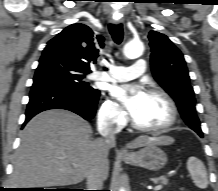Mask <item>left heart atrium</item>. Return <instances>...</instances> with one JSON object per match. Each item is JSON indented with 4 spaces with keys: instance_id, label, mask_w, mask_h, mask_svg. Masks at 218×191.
I'll use <instances>...</instances> for the list:
<instances>
[{
    "instance_id": "left-heart-atrium-1",
    "label": "left heart atrium",
    "mask_w": 218,
    "mask_h": 191,
    "mask_svg": "<svg viewBox=\"0 0 218 191\" xmlns=\"http://www.w3.org/2000/svg\"><path fill=\"white\" fill-rule=\"evenodd\" d=\"M113 94L122 102L132 117L139 111L147 93L140 86H119Z\"/></svg>"
}]
</instances>
